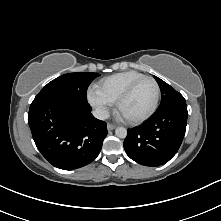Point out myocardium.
<instances>
[{
	"mask_svg": "<svg viewBox=\"0 0 221 221\" xmlns=\"http://www.w3.org/2000/svg\"><path fill=\"white\" fill-rule=\"evenodd\" d=\"M144 80H150L154 83L155 85V89H156V94H155V99L154 102L152 104V106L150 107V109L144 113L141 116L135 117V118H127L124 117L121 113V109L123 104L125 103V101L130 97V95L132 94L133 90L135 89V87L142 81ZM159 99H160V86L158 84V82L151 76H142L136 80H134L124 91L123 93L120 95V97L118 98L117 102H116V107L118 112L124 117V119L131 124H139L144 122L145 120H147L148 118H150L154 112L156 111L157 107H158V103H159Z\"/></svg>",
	"mask_w": 221,
	"mask_h": 221,
	"instance_id": "obj_1",
	"label": "myocardium"
}]
</instances>
